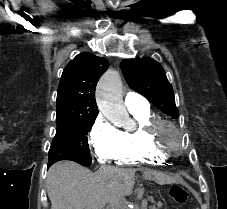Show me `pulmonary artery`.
<instances>
[{
    "label": "pulmonary artery",
    "mask_w": 227,
    "mask_h": 209,
    "mask_svg": "<svg viewBox=\"0 0 227 209\" xmlns=\"http://www.w3.org/2000/svg\"><path fill=\"white\" fill-rule=\"evenodd\" d=\"M125 106L128 109L149 105V100H144V95H138V91H127L124 99Z\"/></svg>",
    "instance_id": "e3ab8cb5"
}]
</instances>
